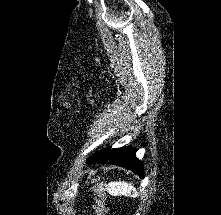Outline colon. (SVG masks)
Here are the masks:
<instances>
[{"label":"colon","instance_id":"5ec220e1","mask_svg":"<svg viewBox=\"0 0 221 215\" xmlns=\"http://www.w3.org/2000/svg\"><path fill=\"white\" fill-rule=\"evenodd\" d=\"M91 190L93 196V212L96 215H105L107 212V206L106 194L104 192L103 186L96 179H93Z\"/></svg>","mask_w":221,"mask_h":215}]
</instances>
